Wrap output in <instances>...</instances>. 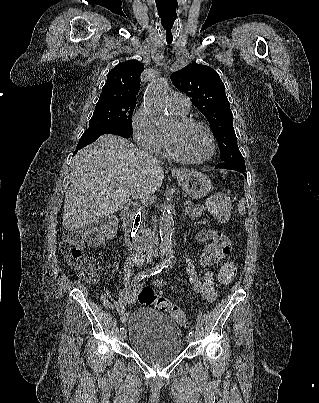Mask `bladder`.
<instances>
[{"label":"bladder","mask_w":319,"mask_h":403,"mask_svg":"<svg viewBox=\"0 0 319 403\" xmlns=\"http://www.w3.org/2000/svg\"><path fill=\"white\" fill-rule=\"evenodd\" d=\"M126 335L132 351L154 365H165L183 352L182 330L159 310L140 308L134 311L127 320Z\"/></svg>","instance_id":"31cf9c89"}]
</instances>
